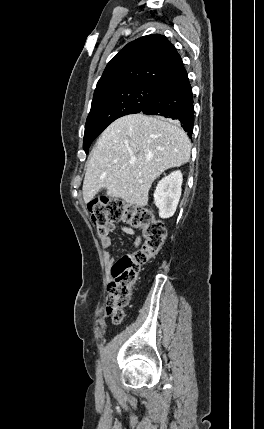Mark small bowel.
<instances>
[{
  "label": "small bowel",
  "mask_w": 264,
  "mask_h": 429,
  "mask_svg": "<svg viewBox=\"0 0 264 429\" xmlns=\"http://www.w3.org/2000/svg\"><path fill=\"white\" fill-rule=\"evenodd\" d=\"M115 229H116V225L113 222H109L103 228V231L101 233H99L101 245H102L103 249L105 250V252L103 254V258L108 265H111L114 261V259L111 257L110 253L107 250L112 247V238L110 236V233L114 232ZM127 231L129 233H132V231L129 229H127ZM141 242H142L141 238L139 236H136L135 240H134V245L139 246L141 244Z\"/></svg>",
  "instance_id": "c3829d8e"
}]
</instances>
